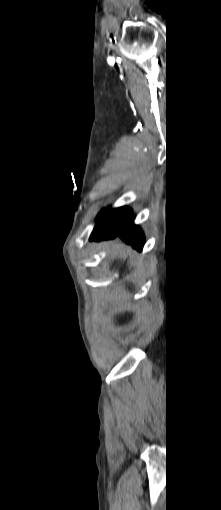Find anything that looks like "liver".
Instances as JSON below:
<instances>
[{
    "label": "liver",
    "mask_w": 221,
    "mask_h": 510,
    "mask_svg": "<svg viewBox=\"0 0 221 510\" xmlns=\"http://www.w3.org/2000/svg\"><path fill=\"white\" fill-rule=\"evenodd\" d=\"M122 250H124V247L122 244H118L115 242L110 243V251L113 252L114 254L121 253Z\"/></svg>",
    "instance_id": "1"
}]
</instances>
